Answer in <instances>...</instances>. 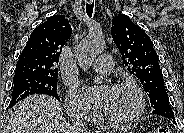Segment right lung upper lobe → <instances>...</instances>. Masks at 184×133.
<instances>
[{
    "instance_id": "right-lung-upper-lobe-1",
    "label": "right lung upper lobe",
    "mask_w": 184,
    "mask_h": 133,
    "mask_svg": "<svg viewBox=\"0 0 184 133\" xmlns=\"http://www.w3.org/2000/svg\"><path fill=\"white\" fill-rule=\"evenodd\" d=\"M71 34V26L63 15L51 16L36 27L19 56L14 78L58 76L60 52Z\"/></svg>"
}]
</instances>
